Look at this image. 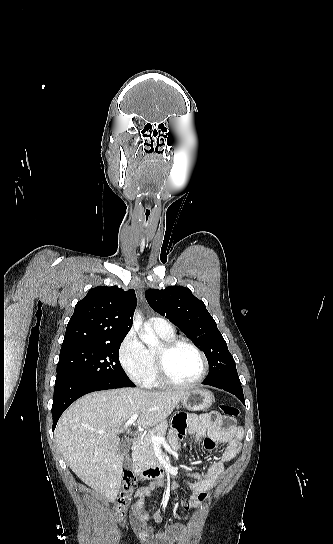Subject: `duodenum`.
<instances>
[{
  "mask_svg": "<svg viewBox=\"0 0 333 544\" xmlns=\"http://www.w3.org/2000/svg\"><path fill=\"white\" fill-rule=\"evenodd\" d=\"M142 444V437H137L132 444V452L135 455ZM133 472L135 475L143 479H159L165 475V467L162 465H156L152 467H144L141 465H134Z\"/></svg>",
  "mask_w": 333,
  "mask_h": 544,
  "instance_id": "obj_1",
  "label": "duodenum"
}]
</instances>
